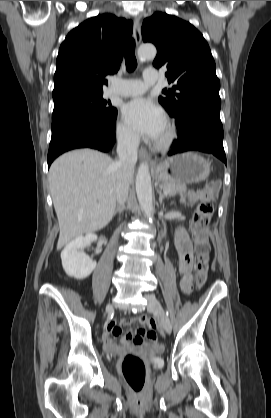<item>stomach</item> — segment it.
<instances>
[{
  "label": "stomach",
  "instance_id": "0dacf381",
  "mask_svg": "<svg viewBox=\"0 0 271 418\" xmlns=\"http://www.w3.org/2000/svg\"><path fill=\"white\" fill-rule=\"evenodd\" d=\"M210 174V163L202 156L187 152L167 158L154 169L158 182L191 184L204 181Z\"/></svg>",
  "mask_w": 271,
  "mask_h": 418
}]
</instances>
